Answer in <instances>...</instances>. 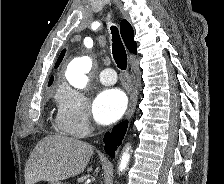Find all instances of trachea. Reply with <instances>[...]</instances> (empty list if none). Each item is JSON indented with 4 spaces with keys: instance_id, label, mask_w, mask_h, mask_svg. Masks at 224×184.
Returning a JSON list of instances; mask_svg holds the SVG:
<instances>
[{
    "instance_id": "3493384b",
    "label": "trachea",
    "mask_w": 224,
    "mask_h": 184,
    "mask_svg": "<svg viewBox=\"0 0 224 184\" xmlns=\"http://www.w3.org/2000/svg\"><path fill=\"white\" fill-rule=\"evenodd\" d=\"M112 33V54L119 69L125 70L127 68V54L125 47L121 41L118 29L115 26L111 27Z\"/></svg>"
}]
</instances>
